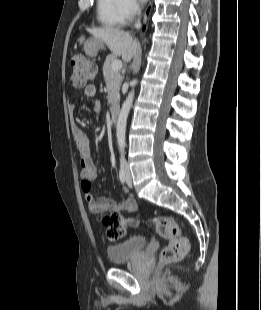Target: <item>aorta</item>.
Returning a JSON list of instances; mask_svg holds the SVG:
<instances>
[{
    "label": "aorta",
    "mask_w": 261,
    "mask_h": 310,
    "mask_svg": "<svg viewBox=\"0 0 261 310\" xmlns=\"http://www.w3.org/2000/svg\"><path fill=\"white\" fill-rule=\"evenodd\" d=\"M138 81L137 79H134L132 81V86L135 87L137 85ZM134 88L129 92L126 100L124 101L122 108L119 112L117 124H116V138H117V144L119 151L121 153L124 152L125 149V136H126V125H127V118L129 111L133 104L134 99Z\"/></svg>",
    "instance_id": "obj_1"
}]
</instances>
